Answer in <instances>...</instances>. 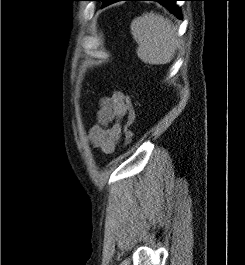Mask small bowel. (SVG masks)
<instances>
[{"instance_id": "c3829d8e", "label": "small bowel", "mask_w": 245, "mask_h": 265, "mask_svg": "<svg viewBox=\"0 0 245 265\" xmlns=\"http://www.w3.org/2000/svg\"><path fill=\"white\" fill-rule=\"evenodd\" d=\"M127 111L125 95L121 91L116 90L111 96L101 97L98 102L96 122L87 134L88 142L104 154L113 153L119 143L121 121ZM112 120L115 122L109 126Z\"/></svg>"}]
</instances>
